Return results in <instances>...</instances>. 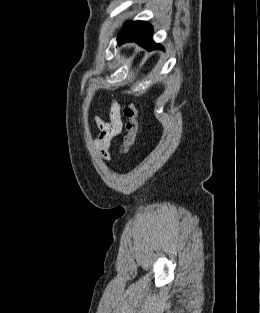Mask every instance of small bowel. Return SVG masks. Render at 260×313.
<instances>
[{"label": "small bowel", "instance_id": "c3829d8e", "mask_svg": "<svg viewBox=\"0 0 260 313\" xmlns=\"http://www.w3.org/2000/svg\"><path fill=\"white\" fill-rule=\"evenodd\" d=\"M96 124L99 129L95 139L96 150L102 158L109 159V147L111 141L122 131V120L119 103L116 101L111 103L108 121L96 118Z\"/></svg>", "mask_w": 260, "mask_h": 313}]
</instances>
